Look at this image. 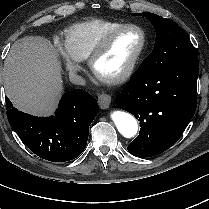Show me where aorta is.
Segmentation results:
<instances>
[{"label":"aorta","instance_id":"aorta-1","mask_svg":"<svg viewBox=\"0 0 209 209\" xmlns=\"http://www.w3.org/2000/svg\"><path fill=\"white\" fill-rule=\"evenodd\" d=\"M111 118L122 136L131 138L136 135L138 124L131 114L116 110L111 113Z\"/></svg>","mask_w":209,"mask_h":209}]
</instances>
